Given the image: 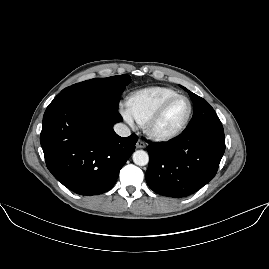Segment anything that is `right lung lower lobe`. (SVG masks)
Segmentation results:
<instances>
[{
  "instance_id": "right-lung-lower-lobe-1",
  "label": "right lung lower lobe",
  "mask_w": 269,
  "mask_h": 269,
  "mask_svg": "<svg viewBox=\"0 0 269 269\" xmlns=\"http://www.w3.org/2000/svg\"><path fill=\"white\" fill-rule=\"evenodd\" d=\"M118 107L77 95H57L47 107L40 142L47 168L81 195L110 190L135 150L138 137H120Z\"/></svg>"
}]
</instances>
